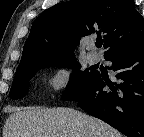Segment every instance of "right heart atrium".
I'll return each instance as SVG.
<instances>
[{
  "label": "right heart atrium",
  "mask_w": 144,
  "mask_h": 137,
  "mask_svg": "<svg viewBox=\"0 0 144 137\" xmlns=\"http://www.w3.org/2000/svg\"><path fill=\"white\" fill-rule=\"evenodd\" d=\"M69 69L65 65L58 66L47 81V90L51 93L62 91L69 81Z\"/></svg>",
  "instance_id": "1"
}]
</instances>
